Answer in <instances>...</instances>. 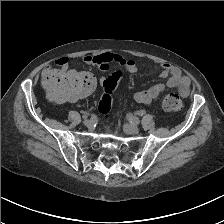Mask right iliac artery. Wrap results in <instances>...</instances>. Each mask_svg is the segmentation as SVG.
Wrapping results in <instances>:
<instances>
[{"label":"right iliac artery","instance_id":"82829eb1","mask_svg":"<svg viewBox=\"0 0 224 224\" xmlns=\"http://www.w3.org/2000/svg\"><path fill=\"white\" fill-rule=\"evenodd\" d=\"M90 120L93 122V124L97 123V117L95 115H92Z\"/></svg>","mask_w":224,"mask_h":224}]
</instances>
